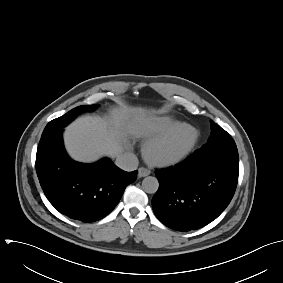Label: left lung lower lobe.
Listing matches in <instances>:
<instances>
[{"label":"left lung lower lobe","mask_w":283,"mask_h":283,"mask_svg":"<svg viewBox=\"0 0 283 283\" xmlns=\"http://www.w3.org/2000/svg\"><path fill=\"white\" fill-rule=\"evenodd\" d=\"M238 173L239 162L193 153L174 167L155 171L159 189L152 198L153 211L171 229H199L228 206Z\"/></svg>","instance_id":"left-lung-lower-lobe-1"}]
</instances>
